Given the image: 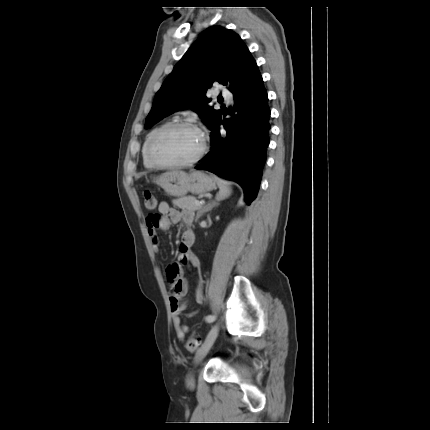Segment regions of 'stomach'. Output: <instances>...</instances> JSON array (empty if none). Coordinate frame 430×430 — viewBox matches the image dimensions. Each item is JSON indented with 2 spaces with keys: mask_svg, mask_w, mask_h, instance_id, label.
<instances>
[{
  "mask_svg": "<svg viewBox=\"0 0 430 430\" xmlns=\"http://www.w3.org/2000/svg\"><path fill=\"white\" fill-rule=\"evenodd\" d=\"M156 182L171 196L182 197L188 192L202 194L215 187V181L202 171L186 173L171 170L161 174Z\"/></svg>",
  "mask_w": 430,
  "mask_h": 430,
  "instance_id": "stomach-1",
  "label": "stomach"
}]
</instances>
